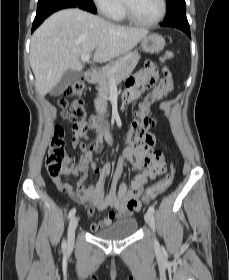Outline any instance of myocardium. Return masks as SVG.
Instances as JSON below:
<instances>
[{
    "label": "myocardium",
    "mask_w": 229,
    "mask_h": 280,
    "mask_svg": "<svg viewBox=\"0 0 229 280\" xmlns=\"http://www.w3.org/2000/svg\"><path fill=\"white\" fill-rule=\"evenodd\" d=\"M122 9L124 12L125 17L133 24L140 25V26H153L160 23L167 13V1L161 0V12L160 14L152 19V20H141L137 18L131 9L129 0H122Z\"/></svg>",
    "instance_id": "f54148a6"
}]
</instances>
